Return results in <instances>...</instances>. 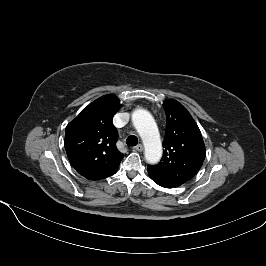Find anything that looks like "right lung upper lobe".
<instances>
[{
    "label": "right lung upper lobe",
    "mask_w": 266,
    "mask_h": 266,
    "mask_svg": "<svg viewBox=\"0 0 266 266\" xmlns=\"http://www.w3.org/2000/svg\"><path fill=\"white\" fill-rule=\"evenodd\" d=\"M120 107L116 95H104L84 108L66 127L64 145L68 159L89 180L112 176L124 157L116 147L118 133L112 123Z\"/></svg>",
    "instance_id": "cb5924a9"
}]
</instances>
